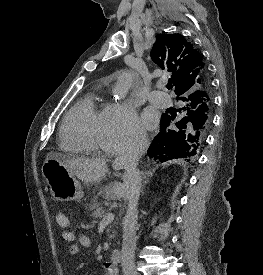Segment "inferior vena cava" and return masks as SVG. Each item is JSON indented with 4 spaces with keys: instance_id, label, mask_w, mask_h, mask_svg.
Returning a JSON list of instances; mask_svg holds the SVG:
<instances>
[{
    "instance_id": "inferior-vena-cava-1",
    "label": "inferior vena cava",
    "mask_w": 263,
    "mask_h": 275,
    "mask_svg": "<svg viewBox=\"0 0 263 275\" xmlns=\"http://www.w3.org/2000/svg\"><path fill=\"white\" fill-rule=\"evenodd\" d=\"M149 141L145 133H140L124 144L115 160L120 168L125 169L124 181L127 187L128 208L123 220L122 269L123 275H137L134 265L136 247L137 205L140 196L141 177L137 170L140 157L148 148Z\"/></svg>"
}]
</instances>
